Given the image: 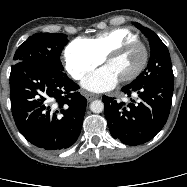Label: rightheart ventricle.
Segmentation results:
<instances>
[{"mask_svg": "<svg viewBox=\"0 0 187 187\" xmlns=\"http://www.w3.org/2000/svg\"><path fill=\"white\" fill-rule=\"evenodd\" d=\"M139 39L138 36L126 28H116L98 33L96 36L86 39L92 49L102 58L118 46L119 44L128 41Z\"/></svg>", "mask_w": 187, "mask_h": 187, "instance_id": "obj_1", "label": "right heart ventricle"}]
</instances>
